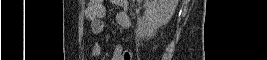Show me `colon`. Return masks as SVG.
Here are the masks:
<instances>
[{"label": "colon", "mask_w": 267, "mask_h": 60, "mask_svg": "<svg viewBox=\"0 0 267 60\" xmlns=\"http://www.w3.org/2000/svg\"><path fill=\"white\" fill-rule=\"evenodd\" d=\"M104 3H105L104 0H89L88 1V4L90 6V15L92 18H95L102 13Z\"/></svg>", "instance_id": "obj_1"}]
</instances>
